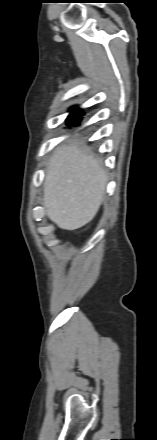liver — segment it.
<instances>
[{
    "instance_id": "1",
    "label": "liver",
    "mask_w": 157,
    "mask_h": 440,
    "mask_svg": "<svg viewBox=\"0 0 157 440\" xmlns=\"http://www.w3.org/2000/svg\"><path fill=\"white\" fill-rule=\"evenodd\" d=\"M106 184V171L92 155L75 145L58 147L44 181L47 215L63 229L84 226L98 212Z\"/></svg>"
}]
</instances>
